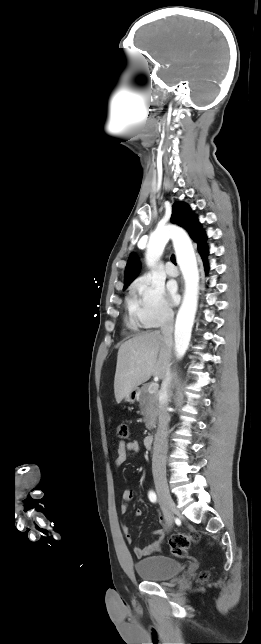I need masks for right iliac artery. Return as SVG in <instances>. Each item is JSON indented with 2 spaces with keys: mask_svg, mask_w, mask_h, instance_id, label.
<instances>
[{
  "mask_svg": "<svg viewBox=\"0 0 261 644\" xmlns=\"http://www.w3.org/2000/svg\"><path fill=\"white\" fill-rule=\"evenodd\" d=\"M149 500L153 503L157 502V496L154 491H150L148 494Z\"/></svg>",
  "mask_w": 261,
  "mask_h": 644,
  "instance_id": "right-iliac-artery-1",
  "label": "right iliac artery"
}]
</instances>
